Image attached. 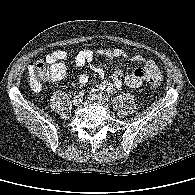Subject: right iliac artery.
<instances>
[{
    "mask_svg": "<svg viewBox=\"0 0 195 195\" xmlns=\"http://www.w3.org/2000/svg\"><path fill=\"white\" fill-rule=\"evenodd\" d=\"M84 94H85V92L81 91V92H79L78 96L82 97V96H84Z\"/></svg>",
    "mask_w": 195,
    "mask_h": 195,
    "instance_id": "82829eb1",
    "label": "right iliac artery"
}]
</instances>
